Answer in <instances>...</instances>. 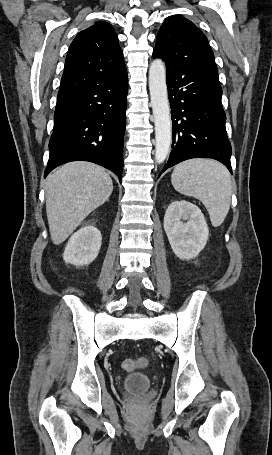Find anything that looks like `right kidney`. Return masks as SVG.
Masks as SVG:
<instances>
[{"label": "right kidney", "mask_w": 272, "mask_h": 455, "mask_svg": "<svg viewBox=\"0 0 272 455\" xmlns=\"http://www.w3.org/2000/svg\"><path fill=\"white\" fill-rule=\"evenodd\" d=\"M101 243V232L93 225H86L71 236L63 259L76 266L88 265L98 256Z\"/></svg>", "instance_id": "1"}]
</instances>
